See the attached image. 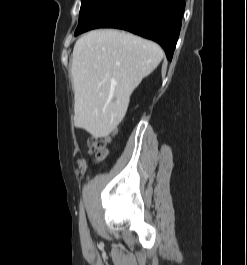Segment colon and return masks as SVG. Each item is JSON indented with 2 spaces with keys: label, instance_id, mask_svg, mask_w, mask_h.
<instances>
[{
  "label": "colon",
  "instance_id": "5ec220e1",
  "mask_svg": "<svg viewBox=\"0 0 247 265\" xmlns=\"http://www.w3.org/2000/svg\"><path fill=\"white\" fill-rule=\"evenodd\" d=\"M109 139V137L104 139L95 137L89 138V145L97 160H102L106 157Z\"/></svg>",
  "mask_w": 247,
  "mask_h": 265
}]
</instances>
